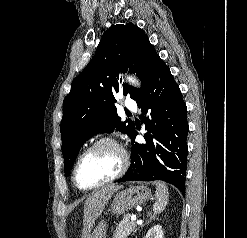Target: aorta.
Returning a JSON list of instances; mask_svg holds the SVG:
<instances>
[{
  "mask_svg": "<svg viewBox=\"0 0 247 238\" xmlns=\"http://www.w3.org/2000/svg\"><path fill=\"white\" fill-rule=\"evenodd\" d=\"M128 81L130 82V83H132V84H134V85H139L138 84V81H136L135 79H133V78H128Z\"/></svg>",
  "mask_w": 247,
  "mask_h": 238,
  "instance_id": "obj_1",
  "label": "aorta"
}]
</instances>
